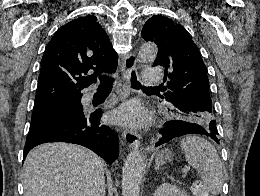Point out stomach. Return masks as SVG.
Instances as JSON below:
<instances>
[{
	"label": "stomach",
	"instance_id": "obj_1",
	"mask_svg": "<svg viewBox=\"0 0 260 196\" xmlns=\"http://www.w3.org/2000/svg\"><path fill=\"white\" fill-rule=\"evenodd\" d=\"M160 156L161 158L163 156L164 160H167V162H170V160L173 158L171 150H164V152H161Z\"/></svg>",
	"mask_w": 260,
	"mask_h": 196
}]
</instances>
